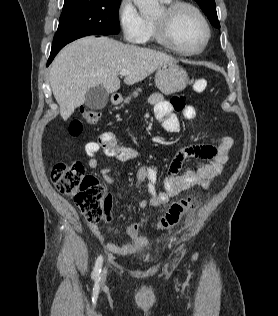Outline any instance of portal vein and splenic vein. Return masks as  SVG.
I'll use <instances>...</instances> for the list:
<instances>
[{
	"instance_id": "portal-vein-and-splenic-vein-1",
	"label": "portal vein and splenic vein",
	"mask_w": 278,
	"mask_h": 316,
	"mask_svg": "<svg viewBox=\"0 0 278 316\" xmlns=\"http://www.w3.org/2000/svg\"><path fill=\"white\" fill-rule=\"evenodd\" d=\"M127 74H129L128 70H121V72H120L121 76H126Z\"/></svg>"
}]
</instances>
